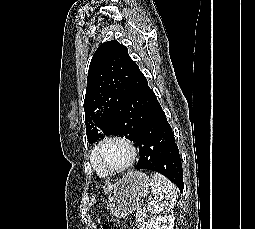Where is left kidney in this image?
Returning a JSON list of instances; mask_svg holds the SVG:
<instances>
[{
  "label": "left kidney",
  "instance_id": "1",
  "mask_svg": "<svg viewBox=\"0 0 255 229\" xmlns=\"http://www.w3.org/2000/svg\"><path fill=\"white\" fill-rule=\"evenodd\" d=\"M174 220L173 215L153 217L147 220L141 229H173Z\"/></svg>",
  "mask_w": 255,
  "mask_h": 229
}]
</instances>
